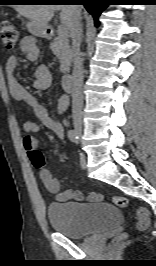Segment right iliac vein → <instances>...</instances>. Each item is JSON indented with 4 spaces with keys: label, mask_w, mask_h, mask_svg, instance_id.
Segmentation results:
<instances>
[{
    "label": "right iliac vein",
    "mask_w": 156,
    "mask_h": 266,
    "mask_svg": "<svg viewBox=\"0 0 156 266\" xmlns=\"http://www.w3.org/2000/svg\"><path fill=\"white\" fill-rule=\"evenodd\" d=\"M74 128H75L76 133H77L79 136H81V134H82V124H81L79 121H76V122L74 123Z\"/></svg>",
    "instance_id": "right-iliac-vein-1"
}]
</instances>
